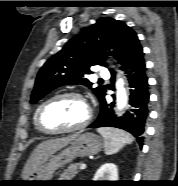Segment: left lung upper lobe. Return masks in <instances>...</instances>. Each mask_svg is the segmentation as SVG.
<instances>
[{"label": "left lung upper lobe", "mask_w": 178, "mask_h": 186, "mask_svg": "<svg viewBox=\"0 0 178 186\" xmlns=\"http://www.w3.org/2000/svg\"><path fill=\"white\" fill-rule=\"evenodd\" d=\"M143 54L136 33L125 23L113 18H100L81 34L72 38L66 46L53 55L38 72L31 103H36L53 89L67 84H83L91 87L85 78L94 65L105 66L109 55L117 58L124 69L127 64ZM111 74H115L110 69ZM101 101L105 86L93 89Z\"/></svg>", "instance_id": "obj_1"}]
</instances>
